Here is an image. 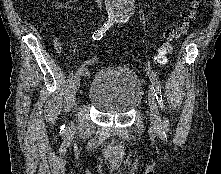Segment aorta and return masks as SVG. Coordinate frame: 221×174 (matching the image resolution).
<instances>
[{
	"label": "aorta",
	"mask_w": 221,
	"mask_h": 174,
	"mask_svg": "<svg viewBox=\"0 0 221 174\" xmlns=\"http://www.w3.org/2000/svg\"><path fill=\"white\" fill-rule=\"evenodd\" d=\"M108 17L112 20L128 19L134 9V0H105Z\"/></svg>",
	"instance_id": "762f6f07"
}]
</instances>
